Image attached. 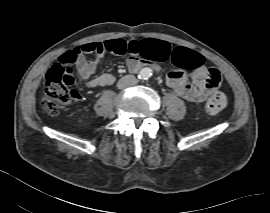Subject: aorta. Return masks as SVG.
Returning a JSON list of instances; mask_svg holds the SVG:
<instances>
[{
	"mask_svg": "<svg viewBox=\"0 0 270 213\" xmlns=\"http://www.w3.org/2000/svg\"><path fill=\"white\" fill-rule=\"evenodd\" d=\"M143 72H146V74H150L151 70L149 68H146L143 70Z\"/></svg>",
	"mask_w": 270,
	"mask_h": 213,
	"instance_id": "762f6f07",
	"label": "aorta"
}]
</instances>
